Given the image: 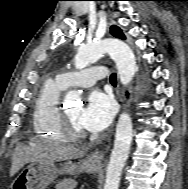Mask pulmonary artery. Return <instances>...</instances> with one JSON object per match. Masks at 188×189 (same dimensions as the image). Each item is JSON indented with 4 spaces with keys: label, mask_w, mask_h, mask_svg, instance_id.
Returning a JSON list of instances; mask_svg holds the SVG:
<instances>
[{
    "label": "pulmonary artery",
    "mask_w": 188,
    "mask_h": 189,
    "mask_svg": "<svg viewBox=\"0 0 188 189\" xmlns=\"http://www.w3.org/2000/svg\"><path fill=\"white\" fill-rule=\"evenodd\" d=\"M106 75V69L103 66H97L80 72H66L59 74L56 77V81L63 88L73 86L90 87L105 79Z\"/></svg>",
    "instance_id": "e3ab8cb5"
}]
</instances>
